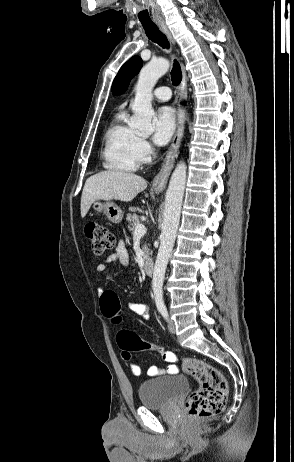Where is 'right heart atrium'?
Returning <instances> with one entry per match:
<instances>
[{
	"mask_svg": "<svg viewBox=\"0 0 294 462\" xmlns=\"http://www.w3.org/2000/svg\"><path fill=\"white\" fill-rule=\"evenodd\" d=\"M135 150L139 162L148 161L153 153L152 144L147 138L142 136H137Z\"/></svg>",
	"mask_w": 294,
	"mask_h": 462,
	"instance_id": "obj_1",
	"label": "right heart atrium"
}]
</instances>
